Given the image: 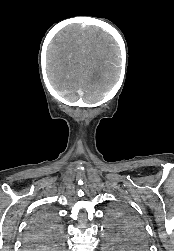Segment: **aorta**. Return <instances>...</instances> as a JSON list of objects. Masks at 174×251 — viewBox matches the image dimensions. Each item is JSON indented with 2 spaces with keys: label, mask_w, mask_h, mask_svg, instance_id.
Segmentation results:
<instances>
[{
  "label": "aorta",
  "mask_w": 174,
  "mask_h": 251,
  "mask_svg": "<svg viewBox=\"0 0 174 251\" xmlns=\"http://www.w3.org/2000/svg\"><path fill=\"white\" fill-rule=\"evenodd\" d=\"M102 243L106 251H118L121 248L120 241L112 238L109 227L101 230Z\"/></svg>",
  "instance_id": "obj_1"
}]
</instances>
